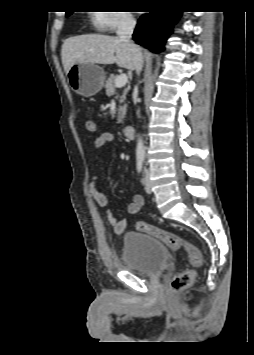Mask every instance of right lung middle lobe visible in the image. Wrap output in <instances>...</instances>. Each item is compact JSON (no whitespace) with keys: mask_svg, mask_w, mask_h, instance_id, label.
<instances>
[{"mask_svg":"<svg viewBox=\"0 0 254 355\" xmlns=\"http://www.w3.org/2000/svg\"><path fill=\"white\" fill-rule=\"evenodd\" d=\"M72 14V12H67L66 13V16H69V15H71Z\"/></svg>","mask_w":254,"mask_h":355,"instance_id":"obj_1","label":"right lung middle lobe"}]
</instances>
